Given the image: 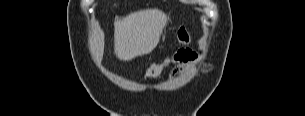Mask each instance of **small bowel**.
<instances>
[{"label": "small bowel", "instance_id": "1", "mask_svg": "<svg viewBox=\"0 0 305 116\" xmlns=\"http://www.w3.org/2000/svg\"><path fill=\"white\" fill-rule=\"evenodd\" d=\"M198 55L190 49H186L185 55L182 58L176 59V65L173 67L169 74V78L176 74L192 67L196 62Z\"/></svg>", "mask_w": 305, "mask_h": 116}]
</instances>
